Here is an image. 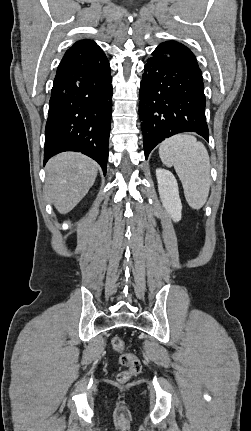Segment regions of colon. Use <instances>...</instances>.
<instances>
[{
    "mask_svg": "<svg viewBox=\"0 0 251 431\" xmlns=\"http://www.w3.org/2000/svg\"><path fill=\"white\" fill-rule=\"evenodd\" d=\"M111 347L113 351L119 354L118 362L126 367V370L118 374V381L121 383L127 382L131 377L138 375L141 372V363L136 355L125 351V341L120 336H114L111 339Z\"/></svg>",
    "mask_w": 251,
    "mask_h": 431,
    "instance_id": "obj_1",
    "label": "colon"
}]
</instances>
